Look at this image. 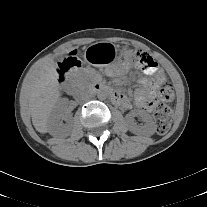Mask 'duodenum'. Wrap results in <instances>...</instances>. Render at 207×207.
Returning a JSON list of instances; mask_svg holds the SVG:
<instances>
[{
    "mask_svg": "<svg viewBox=\"0 0 207 207\" xmlns=\"http://www.w3.org/2000/svg\"><path fill=\"white\" fill-rule=\"evenodd\" d=\"M67 90L73 94L77 92V88L74 85L67 86ZM92 90L95 92H110L112 97L113 98L115 97V92L110 91L108 89V87H106L105 85L98 83V82H96L92 85Z\"/></svg>",
    "mask_w": 207,
    "mask_h": 207,
    "instance_id": "duodenum-1",
    "label": "duodenum"
}]
</instances>
